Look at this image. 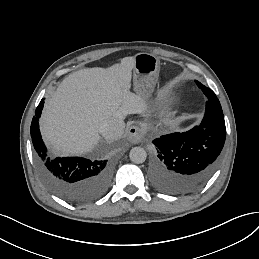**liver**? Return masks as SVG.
<instances>
[{
	"instance_id": "obj_1",
	"label": "liver",
	"mask_w": 259,
	"mask_h": 259,
	"mask_svg": "<svg viewBox=\"0 0 259 259\" xmlns=\"http://www.w3.org/2000/svg\"><path fill=\"white\" fill-rule=\"evenodd\" d=\"M135 57L124 58L110 70L86 69L69 75L47 100L41 118L46 143L62 154L90 151L99 140V126L124 106L132 95Z\"/></svg>"
}]
</instances>
